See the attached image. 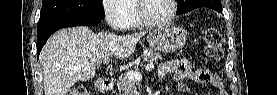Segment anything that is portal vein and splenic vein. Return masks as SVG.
Returning a JSON list of instances; mask_svg holds the SVG:
<instances>
[{
  "label": "portal vein and splenic vein",
  "instance_id": "obj_1",
  "mask_svg": "<svg viewBox=\"0 0 277 95\" xmlns=\"http://www.w3.org/2000/svg\"><path fill=\"white\" fill-rule=\"evenodd\" d=\"M104 63H108L109 62V58H105L103 60ZM154 68V65L152 63L150 64H147V66L145 67V70L146 71H150ZM126 76L129 80H132V81H139L142 79V75L141 73H139L138 71H128L126 73Z\"/></svg>",
  "mask_w": 277,
  "mask_h": 95
}]
</instances>
